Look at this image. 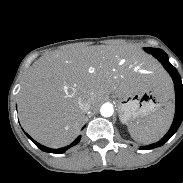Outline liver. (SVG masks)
Listing matches in <instances>:
<instances>
[{
  "mask_svg": "<svg viewBox=\"0 0 183 183\" xmlns=\"http://www.w3.org/2000/svg\"><path fill=\"white\" fill-rule=\"evenodd\" d=\"M141 64L150 76L137 87L154 88L166 102L172 97L167 74L132 47L89 46L53 52L35 61L22 82L18 98L23 128L38 142L59 148L77 136L85 112L80 98L96 107L110 93L134 90L127 68Z\"/></svg>",
  "mask_w": 183,
  "mask_h": 183,
  "instance_id": "6515ba94",
  "label": "liver"
}]
</instances>
